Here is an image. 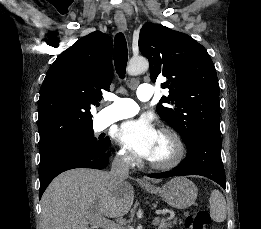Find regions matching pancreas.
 Masks as SVG:
<instances>
[{"label": "pancreas", "instance_id": "obj_1", "mask_svg": "<svg viewBox=\"0 0 261 229\" xmlns=\"http://www.w3.org/2000/svg\"><path fill=\"white\" fill-rule=\"evenodd\" d=\"M159 227L158 229H172L174 225H177V219H173V221H167V219H157ZM182 221H179V225H181Z\"/></svg>", "mask_w": 261, "mask_h": 229}]
</instances>
